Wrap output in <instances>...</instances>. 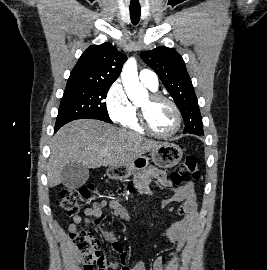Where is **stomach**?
<instances>
[{"mask_svg":"<svg viewBox=\"0 0 267 270\" xmlns=\"http://www.w3.org/2000/svg\"><path fill=\"white\" fill-rule=\"evenodd\" d=\"M151 161L160 168H171L179 163L183 156L182 149L172 143H163L158 148L152 150ZM149 160L145 155H141L132 162L122 165L111 166L107 170V175L111 179H127L136 172L145 169L149 165Z\"/></svg>","mask_w":267,"mask_h":270,"instance_id":"obj_1","label":"stomach"}]
</instances>
